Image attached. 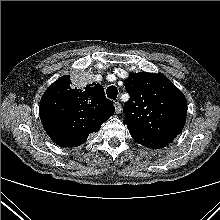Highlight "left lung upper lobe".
<instances>
[{
	"mask_svg": "<svg viewBox=\"0 0 220 220\" xmlns=\"http://www.w3.org/2000/svg\"><path fill=\"white\" fill-rule=\"evenodd\" d=\"M129 101L123 106L129 132L174 139L182 131L186 98L163 74L131 73L125 80Z\"/></svg>",
	"mask_w": 220,
	"mask_h": 220,
	"instance_id": "1",
	"label": "left lung upper lobe"
}]
</instances>
